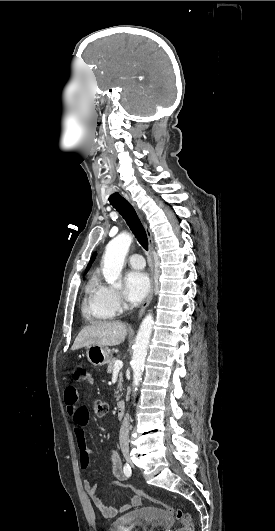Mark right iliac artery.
<instances>
[{"mask_svg": "<svg viewBox=\"0 0 275 531\" xmlns=\"http://www.w3.org/2000/svg\"><path fill=\"white\" fill-rule=\"evenodd\" d=\"M123 471H124V474L127 476V477H130L131 476V467L128 463H126L123 467Z\"/></svg>", "mask_w": 275, "mask_h": 531, "instance_id": "right-iliac-artery-1", "label": "right iliac artery"}]
</instances>
